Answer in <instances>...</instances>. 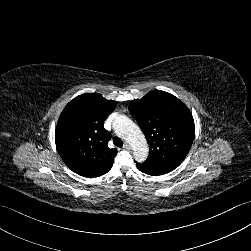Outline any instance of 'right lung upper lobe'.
<instances>
[{
    "instance_id": "cb5924a9",
    "label": "right lung upper lobe",
    "mask_w": 251,
    "mask_h": 251,
    "mask_svg": "<svg viewBox=\"0 0 251 251\" xmlns=\"http://www.w3.org/2000/svg\"><path fill=\"white\" fill-rule=\"evenodd\" d=\"M116 105L100 94L86 93L64 108L57 123L55 143L59 155L73 172L93 178L111 169L117 150L108 147L110 134L103 124Z\"/></svg>"
}]
</instances>
